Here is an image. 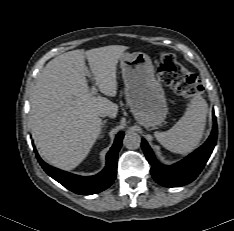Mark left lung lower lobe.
Returning a JSON list of instances; mask_svg holds the SVG:
<instances>
[{"instance_id": "0a47b994", "label": "left lung lower lobe", "mask_w": 234, "mask_h": 231, "mask_svg": "<svg viewBox=\"0 0 234 231\" xmlns=\"http://www.w3.org/2000/svg\"><path fill=\"white\" fill-rule=\"evenodd\" d=\"M213 130L208 140L192 154L171 166L160 164L148 143L142 139V149L151 165L154 180L164 187H180L192 182L204 168L217 140V122L213 115Z\"/></svg>"}]
</instances>
